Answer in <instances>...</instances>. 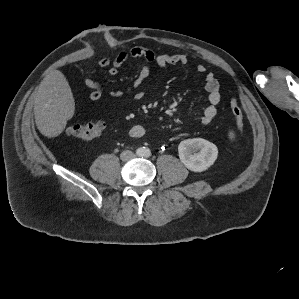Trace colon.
<instances>
[{
  "instance_id": "1",
  "label": "colon",
  "mask_w": 299,
  "mask_h": 299,
  "mask_svg": "<svg viewBox=\"0 0 299 299\" xmlns=\"http://www.w3.org/2000/svg\"><path fill=\"white\" fill-rule=\"evenodd\" d=\"M231 110L236 129L242 135L244 128L243 112L236 98L231 99ZM104 129L105 123L102 121L82 122L68 126L66 133L76 138L89 140L100 136Z\"/></svg>"
}]
</instances>
